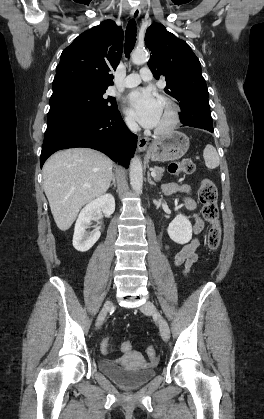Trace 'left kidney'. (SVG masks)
Returning a JSON list of instances; mask_svg holds the SVG:
<instances>
[{"mask_svg":"<svg viewBox=\"0 0 264 419\" xmlns=\"http://www.w3.org/2000/svg\"><path fill=\"white\" fill-rule=\"evenodd\" d=\"M168 235L174 242L178 244H186L192 238V225L189 219L178 214L169 224L167 229Z\"/></svg>","mask_w":264,"mask_h":419,"instance_id":"left-kidney-1","label":"left kidney"}]
</instances>
